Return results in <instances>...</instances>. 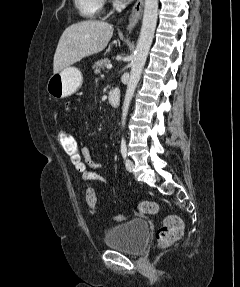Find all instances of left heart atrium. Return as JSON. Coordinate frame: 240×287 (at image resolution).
I'll use <instances>...</instances> for the list:
<instances>
[{
  "label": "left heart atrium",
  "instance_id": "1",
  "mask_svg": "<svg viewBox=\"0 0 240 287\" xmlns=\"http://www.w3.org/2000/svg\"><path fill=\"white\" fill-rule=\"evenodd\" d=\"M122 1H130V0H122Z\"/></svg>",
  "mask_w": 240,
  "mask_h": 287
}]
</instances>
